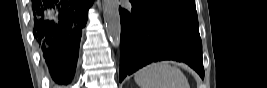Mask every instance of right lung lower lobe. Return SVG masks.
Listing matches in <instances>:
<instances>
[{
  "mask_svg": "<svg viewBox=\"0 0 267 88\" xmlns=\"http://www.w3.org/2000/svg\"><path fill=\"white\" fill-rule=\"evenodd\" d=\"M93 0H32L33 34L52 78L71 81L77 64L82 28Z\"/></svg>",
  "mask_w": 267,
  "mask_h": 88,
  "instance_id": "98d812e1",
  "label": "right lung lower lobe"
}]
</instances>
